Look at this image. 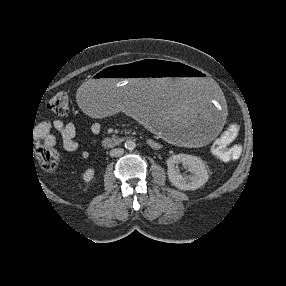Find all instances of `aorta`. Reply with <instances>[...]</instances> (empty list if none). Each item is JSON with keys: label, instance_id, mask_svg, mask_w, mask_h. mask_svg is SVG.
Wrapping results in <instances>:
<instances>
[{"label": "aorta", "instance_id": "aorta-1", "mask_svg": "<svg viewBox=\"0 0 286 286\" xmlns=\"http://www.w3.org/2000/svg\"><path fill=\"white\" fill-rule=\"evenodd\" d=\"M136 147V143L134 140H127L125 142V148L128 149V150H133L134 148Z\"/></svg>", "mask_w": 286, "mask_h": 286}]
</instances>
